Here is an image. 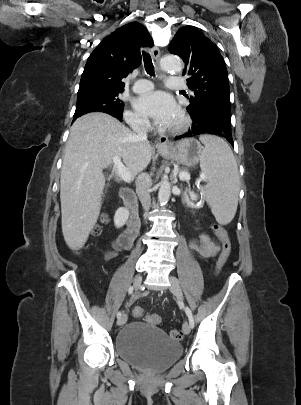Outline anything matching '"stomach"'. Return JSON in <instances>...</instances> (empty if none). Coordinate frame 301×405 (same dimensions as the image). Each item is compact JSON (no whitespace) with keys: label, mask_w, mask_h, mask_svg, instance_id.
<instances>
[{"label":"stomach","mask_w":301,"mask_h":405,"mask_svg":"<svg viewBox=\"0 0 301 405\" xmlns=\"http://www.w3.org/2000/svg\"><path fill=\"white\" fill-rule=\"evenodd\" d=\"M203 147L196 139H185L167 148H159L158 152L166 158L189 167L195 166L200 160Z\"/></svg>","instance_id":"0dacf381"}]
</instances>
